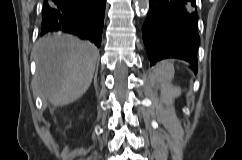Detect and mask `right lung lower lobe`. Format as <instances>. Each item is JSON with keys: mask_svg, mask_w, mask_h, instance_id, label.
Listing matches in <instances>:
<instances>
[{"mask_svg": "<svg viewBox=\"0 0 242 160\" xmlns=\"http://www.w3.org/2000/svg\"><path fill=\"white\" fill-rule=\"evenodd\" d=\"M106 0H44L41 35L65 32L101 45Z\"/></svg>", "mask_w": 242, "mask_h": 160, "instance_id": "obj_1", "label": "right lung lower lobe"}]
</instances>
